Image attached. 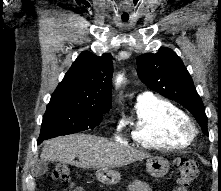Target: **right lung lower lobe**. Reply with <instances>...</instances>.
Returning a JSON list of instances; mask_svg holds the SVG:
<instances>
[{
  "label": "right lung lower lobe",
  "mask_w": 221,
  "mask_h": 191,
  "mask_svg": "<svg viewBox=\"0 0 221 191\" xmlns=\"http://www.w3.org/2000/svg\"><path fill=\"white\" fill-rule=\"evenodd\" d=\"M41 142L38 140V144H40Z\"/></svg>",
  "instance_id": "obj_1"
}]
</instances>
